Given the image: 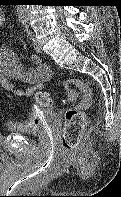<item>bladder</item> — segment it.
Segmentation results:
<instances>
[{
  "label": "bladder",
  "instance_id": "obj_1",
  "mask_svg": "<svg viewBox=\"0 0 121 197\" xmlns=\"http://www.w3.org/2000/svg\"><path fill=\"white\" fill-rule=\"evenodd\" d=\"M56 113L51 109H40L38 113L31 114L26 119L12 122L7 125V130L19 134H42L52 128Z\"/></svg>",
  "mask_w": 121,
  "mask_h": 197
}]
</instances>
